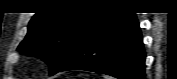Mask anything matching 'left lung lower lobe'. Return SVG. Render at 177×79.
I'll use <instances>...</instances> for the list:
<instances>
[{
  "mask_svg": "<svg viewBox=\"0 0 177 79\" xmlns=\"http://www.w3.org/2000/svg\"><path fill=\"white\" fill-rule=\"evenodd\" d=\"M145 51L135 14L107 12L58 72L87 70L144 79Z\"/></svg>",
  "mask_w": 177,
  "mask_h": 79,
  "instance_id": "obj_1",
  "label": "left lung lower lobe"
}]
</instances>
